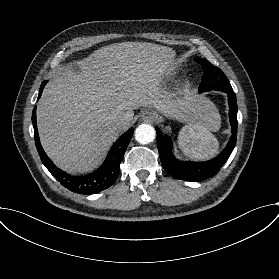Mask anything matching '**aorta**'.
<instances>
[{
  "label": "aorta",
  "mask_w": 279,
  "mask_h": 279,
  "mask_svg": "<svg viewBox=\"0 0 279 279\" xmlns=\"http://www.w3.org/2000/svg\"><path fill=\"white\" fill-rule=\"evenodd\" d=\"M135 139L141 144H148L155 139V129L149 124H141L135 130Z\"/></svg>",
  "instance_id": "762f6f07"
}]
</instances>
